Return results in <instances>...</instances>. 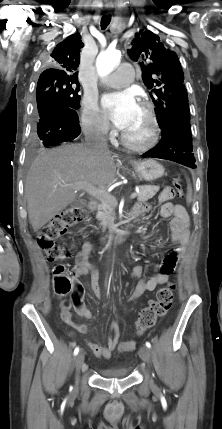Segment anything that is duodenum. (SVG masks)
<instances>
[{"mask_svg": "<svg viewBox=\"0 0 222 429\" xmlns=\"http://www.w3.org/2000/svg\"><path fill=\"white\" fill-rule=\"evenodd\" d=\"M98 208V203L96 201H90L87 205L88 212L92 213L96 211ZM129 236V229L127 224L124 225V227L111 236H109L104 243L107 245H113V244H119L123 243L127 237Z\"/></svg>", "mask_w": 222, "mask_h": 429, "instance_id": "410a0bca", "label": "duodenum"}]
</instances>
